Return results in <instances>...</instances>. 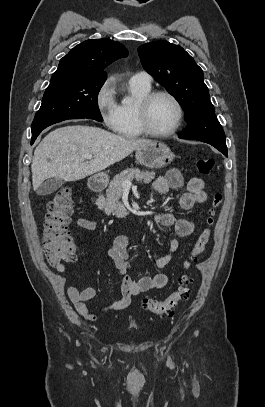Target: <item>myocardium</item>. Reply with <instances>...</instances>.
Instances as JSON below:
<instances>
[{"label": "myocardium", "instance_id": "1", "mask_svg": "<svg viewBox=\"0 0 265 407\" xmlns=\"http://www.w3.org/2000/svg\"><path fill=\"white\" fill-rule=\"evenodd\" d=\"M159 96H166L172 100L177 108V119L172 128L165 132L154 131L149 124V109L152 102ZM137 123L143 134L154 138H167L173 135L180 128L184 118V108L181 101L171 92L167 90H156L149 92L136 107Z\"/></svg>", "mask_w": 265, "mask_h": 407}]
</instances>
